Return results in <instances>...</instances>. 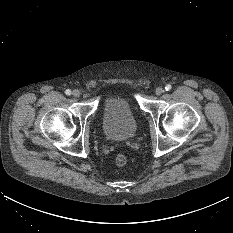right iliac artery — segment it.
<instances>
[{
	"instance_id": "right-iliac-artery-1",
	"label": "right iliac artery",
	"mask_w": 233,
	"mask_h": 233,
	"mask_svg": "<svg viewBox=\"0 0 233 233\" xmlns=\"http://www.w3.org/2000/svg\"><path fill=\"white\" fill-rule=\"evenodd\" d=\"M65 94H66V95H71V90L67 89V90L65 91Z\"/></svg>"
}]
</instances>
